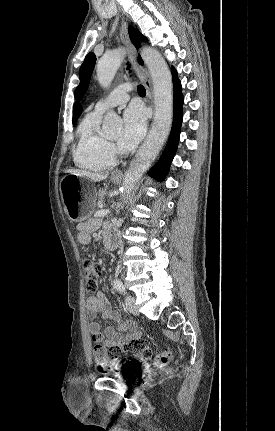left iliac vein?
Instances as JSON below:
<instances>
[{
	"label": "left iliac vein",
	"instance_id": "left-iliac-vein-1",
	"mask_svg": "<svg viewBox=\"0 0 275 431\" xmlns=\"http://www.w3.org/2000/svg\"><path fill=\"white\" fill-rule=\"evenodd\" d=\"M125 305H126V309L130 313H132L134 315H138V311H137L136 306H135V298L133 296H131V295L126 296Z\"/></svg>",
	"mask_w": 275,
	"mask_h": 431
}]
</instances>
